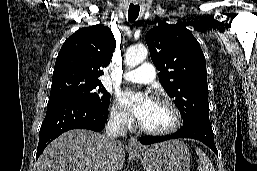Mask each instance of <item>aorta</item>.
<instances>
[{
    "label": "aorta",
    "mask_w": 257,
    "mask_h": 171,
    "mask_svg": "<svg viewBox=\"0 0 257 171\" xmlns=\"http://www.w3.org/2000/svg\"><path fill=\"white\" fill-rule=\"evenodd\" d=\"M148 51L144 45H136L130 47L125 54V62L130 67L143 62L147 57Z\"/></svg>",
    "instance_id": "obj_1"
}]
</instances>
